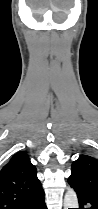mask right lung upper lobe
Masks as SVG:
<instances>
[{"mask_svg":"<svg viewBox=\"0 0 98 209\" xmlns=\"http://www.w3.org/2000/svg\"><path fill=\"white\" fill-rule=\"evenodd\" d=\"M41 191L36 167L25 152L14 154L0 170V209H17Z\"/></svg>","mask_w":98,"mask_h":209,"instance_id":"1","label":"right lung upper lobe"}]
</instances>
